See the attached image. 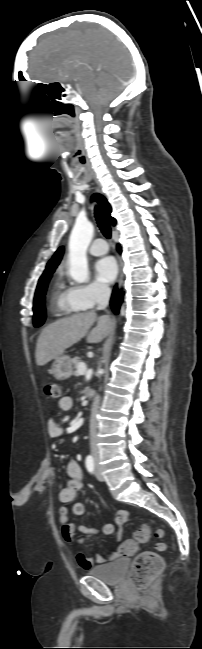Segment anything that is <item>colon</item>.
Returning <instances> with one entry per match:
<instances>
[{
    "label": "colon",
    "mask_w": 202,
    "mask_h": 649,
    "mask_svg": "<svg viewBox=\"0 0 202 649\" xmlns=\"http://www.w3.org/2000/svg\"><path fill=\"white\" fill-rule=\"evenodd\" d=\"M44 394L48 398L58 399L61 396V388L57 383H47L44 386ZM153 532L152 527L148 523H142L134 532L133 539L126 541L122 545V552L124 555L132 554L138 543L148 541ZM156 535L162 536V531L157 530ZM158 550H163L165 544L159 542L156 544ZM164 564L161 556L153 551H145L140 553L133 562L130 579L132 584L139 588L147 587L152 580H154L163 570Z\"/></svg>",
    "instance_id": "colon-1"
}]
</instances>
